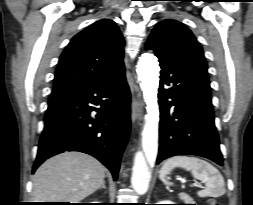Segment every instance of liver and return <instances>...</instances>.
<instances>
[{"label":"liver","instance_id":"obj_1","mask_svg":"<svg viewBox=\"0 0 253 205\" xmlns=\"http://www.w3.org/2000/svg\"><path fill=\"white\" fill-rule=\"evenodd\" d=\"M105 168L94 157L65 152L45 161L33 177L35 202L79 203L100 188Z\"/></svg>","mask_w":253,"mask_h":205}]
</instances>
